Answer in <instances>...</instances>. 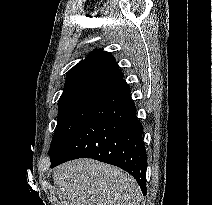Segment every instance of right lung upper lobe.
Masks as SVG:
<instances>
[{"mask_svg":"<svg viewBox=\"0 0 212 205\" xmlns=\"http://www.w3.org/2000/svg\"><path fill=\"white\" fill-rule=\"evenodd\" d=\"M122 78L123 74L112 54L103 50L92 51L68 71L58 104L81 97L102 95Z\"/></svg>","mask_w":212,"mask_h":205,"instance_id":"obj_1","label":"right lung upper lobe"}]
</instances>
